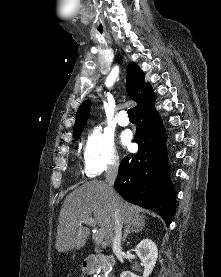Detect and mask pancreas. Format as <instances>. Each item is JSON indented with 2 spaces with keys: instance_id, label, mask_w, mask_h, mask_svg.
I'll return each mask as SVG.
<instances>
[{
  "instance_id": "1",
  "label": "pancreas",
  "mask_w": 221,
  "mask_h": 277,
  "mask_svg": "<svg viewBox=\"0 0 221 277\" xmlns=\"http://www.w3.org/2000/svg\"><path fill=\"white\" fill-rule=\"evenodd\" d=\"M105 273H106V270L103 269V270H102V273H101V275H100L99 277H105Z\"/></svg>"
}]
</instances>
